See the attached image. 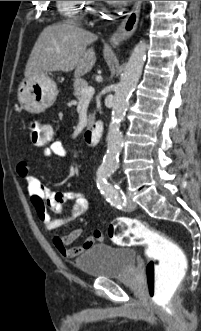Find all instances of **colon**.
<instances>
[{"label": "colon", "instance_id": "1", "mask_svg": "<svg viewBox=\"0 0 201 331\" xmlns=\"http://www.w3.org/2000/svg\"><path fill=\"white\" fill-rule=\"evenodd\" d=\"M29 133L31 142L37 146L51 143L54 134L52 126L43 120L31 121ZM108 235L117 245L146 246L147 296L157 307H168L187 270V260L179 246L145 223L126 217L112 221Z\"/></svg>", "mask_w": 201, "mask_h": 331}]
</instances>
